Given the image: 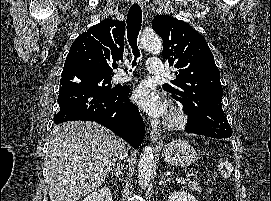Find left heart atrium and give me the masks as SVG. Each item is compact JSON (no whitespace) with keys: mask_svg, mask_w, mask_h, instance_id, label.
<instances>
[{"mask_svg":"<svg viewBox=\"0 0 271 201\" xmlns=\"http://www.w3.org/2000/svg\"><path fill=\"white\" fill-rule=\"evenodd\" d=\"M133 101L152 117H162L167 113L165 100L149 82H143L135 89Z\"/></svg>","mask_w":271,"mask_h":201,"instance_id":"left-heart-atrium-1","label":"left heart atrium"}]
</instances>
